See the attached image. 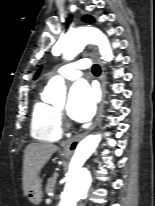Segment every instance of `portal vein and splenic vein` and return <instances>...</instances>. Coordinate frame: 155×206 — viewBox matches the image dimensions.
<instances>
[{"mask_svg":"<svg viewBox=\"0 0 155 206\" xmlns=\"http://www.w3.org/2000/svg\"><path fill=\"white\" fill-rule=\"evenodd\" d=\"M47 202L50 203V202H51V199H47Z\"/></svg>","mask_w":155,"mask_h":206,"instance_id":"1","label":"portal vein and splenic vein"}]
</instances>
